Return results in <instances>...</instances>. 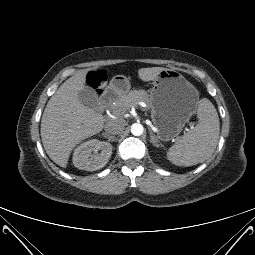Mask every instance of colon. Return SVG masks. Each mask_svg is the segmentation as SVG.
I'll use <instances>...</instances> for the list:
<instances>
[{
  "instance_id": "1",
  "label": "colon",
  "mask_w": 255,
  "mask_h": 255,
  "mask_svg": "<svg viewBox=\"0 0 255 255\" xmlns=\"http://www.w3.org/2000/svg\"><path fill=\"white\" fill-rule=\"evenodd\" d=\"M106 80V76L101 71H93L88 74L87 82L94 88H100Z\"/></svg>"
}]
</instances>
